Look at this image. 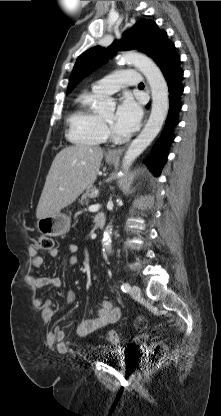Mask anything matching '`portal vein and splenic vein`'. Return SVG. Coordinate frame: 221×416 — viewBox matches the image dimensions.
<instances>
[{
    "label": "portal vein and splenic vein",
    "mask_w": 221,
    "mask_h": 416,
    "mask_svg": "<svg viewBox=\"0 0 221 416\" xmlns=\"http://www.w3.org/2000/svg\"><path fill=\"white\" fill-rule=\"evenodd\" d=\"M99 208H100V205H99V204L91 205V206L89 207V211H96V210H98Z\"/></svg>",
    "instance_id": "obj_1"
}]
</instances>
